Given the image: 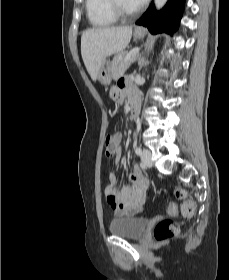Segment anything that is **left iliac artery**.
I'll use <instances>...</instances> for the list:
<instances>
[{
    "instance_id": "1",
    "label": "left iliac artery",
    "mask_w": 229,
    "mask_h": 280,
    "mask_svg": "<svg viewBox=\"0 0 229 280\" xmlns=\"http://www.w3.org/2000/svg\"><path fill=\"white\" fill-rule=\"evenodd\" d=\"M135 153H136L137 155H141V153H142L141 148H140V147H136V148H135Z\"/></svg>"
}]
</instances>
